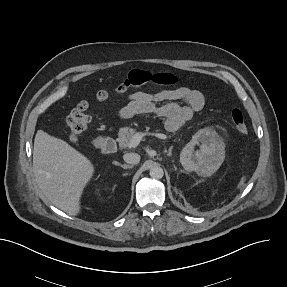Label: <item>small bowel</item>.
Segmentation results:
<instances>
[{
  "instance_id": "obj_1",
  "label": "small bowel",
  "mask_w": 287,
  "mask_h": 287,
  "mask_svg": "<svg viewBox=\"0 0 287 287\" xmlns=\"http://www.w3.org/2000/svg\"><path fill=\"white\" fill-rule=\"evenodd\" d=\"M204 105V95L199 90L187 87L158 92L136 91L128 97L119 114L122 118L154 114L165 120L167 130L177 131Z\"/></svg>"
}]
</instances>
